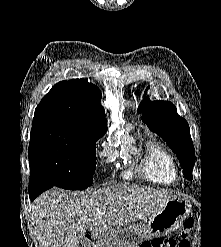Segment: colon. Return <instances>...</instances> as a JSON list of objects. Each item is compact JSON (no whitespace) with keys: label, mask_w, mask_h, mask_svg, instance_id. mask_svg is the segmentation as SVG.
Segmentation results:
<instances>
[{"label":"colon","mask_w":221,"mask_h":247,"mask_svg":"<svg viewBox=\"0 0 221 247\" xmlns=\"http://www.w3.org/2000/svg\"><path fill=\"white\" fill-rule=\"evenodd\" d=\"M193 226L194 220L192 218H188L183 224V229L178 240L172 238H156L143 242L140 247H190V233ZM80 247H93V242L90 238H86Z\"/></svg>","instance_id":"1"}]
</instances>
